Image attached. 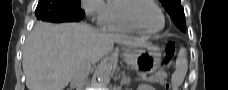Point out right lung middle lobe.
<instances>
[{"instance_id": "1", "label": "right lung middle lobe", "mask_w": 228, "mask_h": 90, "mask_svg": "<svg viewBox=\"0 0 228 90\" xmlns=\"http://www.w3.org/2000/svg\"><path fill=\"white\" fill-rule=\"evenodd\" d=\"M80 1L81 0H40L38 5L55 2V6L65 11L68 15L75 16L82 12Z\"/></svg>"}]
</instances>
